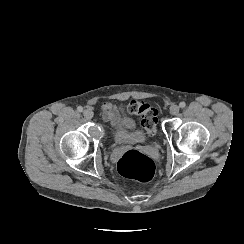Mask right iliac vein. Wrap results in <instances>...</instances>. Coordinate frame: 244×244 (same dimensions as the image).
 <instances>
[{
  "label": "right iliac vein",
  "mask_w": 244,
  "mask_h": 244,
  "mask_svg": "<svg viewBox=\"0 0 244 244\" xmlns=\"http://www.w3.org/2000/svg\"><path fill=\"white\" fill-rule=\"evenodd\" d=\"M83 115L87 118V119H91L94 115L93 111L91 109H85L83 111Z\"/></svg>",
  "instance_id": "1"
}]
</instances>
